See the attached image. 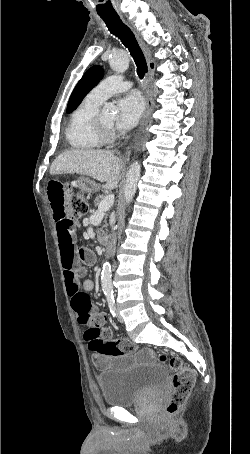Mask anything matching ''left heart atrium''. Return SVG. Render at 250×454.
<instances>
[{
    "label": "left heart atrium",
    "mask_w": 250,
    "mask_h": 454,
    "mask_svg": "<svg viewBox=\"0 0 250 454\" xmlns=\"http://www.w3.org/2000/svg\"><path fill=\"white\" fill-rule=\"evenodd\" d=\"M145 110V100L141 93L134 91L123 96L118 101L116 126L119 129H129L137 124Z\"/></svg>",
    "instance_id": "39dd6f15"
}]
</instances>
